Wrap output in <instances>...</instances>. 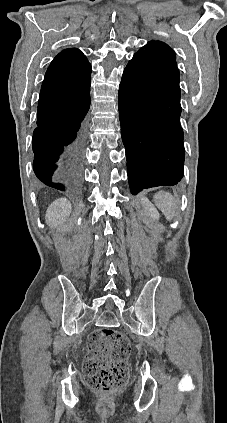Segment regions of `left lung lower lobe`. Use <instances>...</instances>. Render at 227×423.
Wrapping results in <instances>:
<instances>
[{
  "instance_id": "0a47b994",
  "label": "left lung lower lobe",
  "mask_w": 227,
  "mask_h": 423,
  "mask_svg": "<svg viewBox=\"0 0 227 423\" xmlns=\"http://www.w3.org/2000/svg\"><path fill=\"white\" fill-rule=\"evenodd\" d=\"M130 190L176 185L183 177L180 112L166 109L157 91L123 75L118 99Z\"/></svg>"
}]
</instances>
